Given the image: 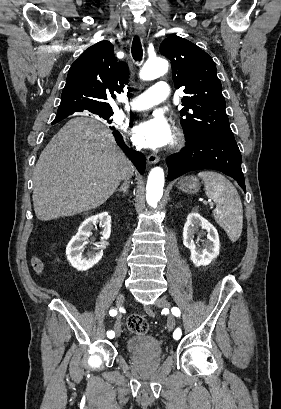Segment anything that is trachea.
Segmentation results:
<instances>
[{
	"mask_svg": "<svg viewBox=\"0 0 281 409\" xmlns=\"http://www.w3.org/2000/svg\"><path fill=\"white\" fill-rule=\"evenodd\" d=\"M131 53L135 61H141L143 56V50L140 38L135 36L133 38L132 46H131Z\"/></svg>",
	"mask_w": 281,
	"mask_h": 409,
	"instance_id": "1",
	"label": "trachea"
}]
</instances>
